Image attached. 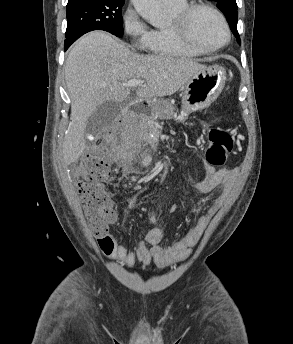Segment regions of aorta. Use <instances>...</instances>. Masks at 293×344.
I'll list each match as a JSON object with an SVG mask.
<instances>
[{
	"label": "aorta",
	"mask_w": 293,
	"mask_h": 344,
	"mask_svg": "<svg viewBox=\"0 0 293 344\" xmlns=\"http://www.w3.org/2000/svg\"><path fill=\"white\" fill-rule=\"evenodd\" d=\"M137 13L152 26L159 27L164 23V13L159 0H131Z\"/></svg>",
	"instance_id": "obj_1"
}]
</instances>
